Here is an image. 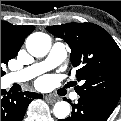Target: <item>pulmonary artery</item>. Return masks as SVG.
Returning <instances> with one entry per match:
<instances>
[{
	"label": "pulmonary artery",
	"instance_id": "pulmonary-artery-1",
	"mask_svg": "<svg viewBox=\"0 0 121 121\" xmlns=\"http://www.w3.org/2000/svg\"><path fill=\"white\" fill-rule=\"evenodd\" d=\"M68 55V47L63 42H55L47 55V57L37 62L29 67L24 68L21 71L10 73L7 76V82L11 83H19V82H26L35 76L47 72L60 64H62ZM73 99L77 98V94L73 93Z\"/></svg>",
	"mask_w": 121,
	"mask_h": 121
}]
</instances>
